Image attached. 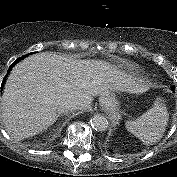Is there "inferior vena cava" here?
I'll use <instances>...</instances> for the list:
<instances>
[{
  "mask_svg": "<svg viewBox=\"0 0 177 177\" xmlns=\"http://www.w3.org/2000/svg\"><path fill=\"white\" fill-rule=\"evenodd\" d=\"M76 109H79V104L77 102L72 100H66L60 104L58 112L67 113V112H72Z\"/></svg>",
  "mask_w": 177,
  "mask_h": 177,
  "instance_id": "1",
  "label": "inferior vena cava"
}]
</instances>
